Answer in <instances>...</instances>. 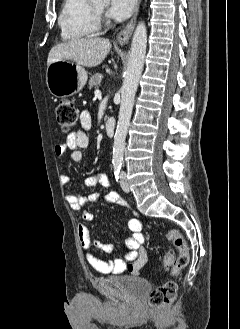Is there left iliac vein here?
I'll list each match as a JSON object with an SVG mask.
<instances>
[{
	"label": "left iliac vein",
	"mask_w": 240,
	"mask_h": 329,
	"mask_svg": "<svg viewBox=\"0 0 240 329\" xmlns=\"http://www.w3.org/2000/svg\"><path fill=\"white\" fill-rule=\"evenodd\" d=\"M120 179H121V187L123 191L126 193L129 192V186L126 180V174L122 172L120 175Z\"/></svg>",
	"instance_id": "1"
}]
</instances>
